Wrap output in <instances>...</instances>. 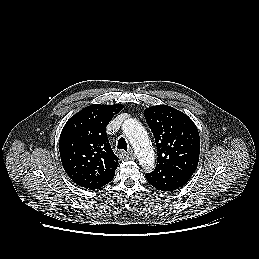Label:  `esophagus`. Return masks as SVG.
<instances>
[{
	"label": "esophagus",
	"instance_id": "1",
	"mask_svg": "<svg viewBox=\"0 0 259 259\" xmlns=\"http://www.w3.org/2000/svg\"><path fill=\"white\" fill-rule=\"evenodd\" d=\"M122 156L126 160H133V159H135V154L133 152H123Z\"/></svg>",
	"mask_w": 259,
	"mask_h": 259
}]
</instances>
